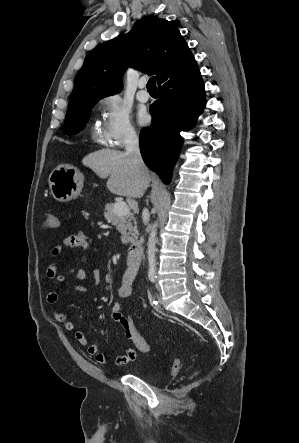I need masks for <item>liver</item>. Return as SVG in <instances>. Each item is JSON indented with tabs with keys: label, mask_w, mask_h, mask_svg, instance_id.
Returning <instances> with one entry per match:
<instances>
[{
	"label": "liver",
	"mask_w": 299,
	"mask_h": 443,
	"mask_svg": "<svg viewBox=\"0 0 299 443\" xmlns=\"http://www.w3.org/2000/svg\"><path fill=\"white\" fill-rule=\"evenodd\" d=\"M82 163L100 178H108L107 189L115 195L140 198L151 182L148 169L140 170L121 151L101 149L86 155Z\"/></svg>",
	"instance_id": "liver-1"
}]
</instances>
